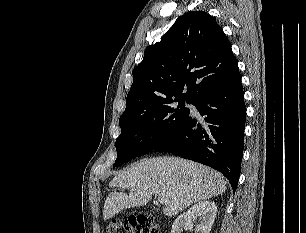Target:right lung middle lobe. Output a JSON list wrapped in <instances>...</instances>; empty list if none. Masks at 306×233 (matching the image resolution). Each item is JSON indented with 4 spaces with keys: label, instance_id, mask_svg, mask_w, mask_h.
I'll return each instance as SVG.
<instances>
[{
    "label": "right lung middle lobe",
    "instance_id": "dd1d6c3e",
    "mask_svg": "<svg viewBox=\"0 0 306 233\" xmlns=\"http://www.w3.org/2000/svg\"><path fill=\"white\" fill-rule=\"evenodd\" d=\"M185 102L194 104L183 98H172L122 115L121 135L115 143L118 156L113 167L153 150L168 139L189 116Z\"/></svg>",
    "mask_w": 306,
    "mask_h": 233
}]
</instances>
